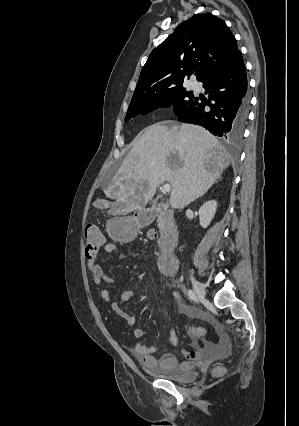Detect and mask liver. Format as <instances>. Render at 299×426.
Segmentation results:
<instances>
[{
	"mask_svg": "<svg viewBox=\"0 0 299 426\" xmlns=\"http://www.w3.org/2000/svg\"><path fill=\"white\" fill-rule=\"evenodd\" d=\"M230 162L218 139L202 127L156 123L137 139L104 188L115 202L99 201L109 214L126 215L145 206L169 182L170 205L183 209L217 181Z\"/></svg>",
	"mask_w": 299,
	"mask_h": 426,
	"instance_id": "6515ba94",
	"label": "liver"
}]
</instances>
